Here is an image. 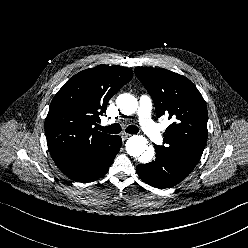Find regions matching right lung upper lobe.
<instances>
[{"label":"right lung upper lobe","mask_w":248,"mask_h":248,"mask_svg":"<svg viewBox=\"0 0 248 248\" xmlns=\"http://www.w3.org/2000/svg\"><path fill=\"white\" fill-rule=\"evenodd\" d=\"M131 69L99 65L73 76L54 96L45 119L50 154L60 170L73 167L112 135L94 128L110 98L131 80Z\"/></svg>","instance_id":"right-lung-upper-lobe-1"}]
</instances>
